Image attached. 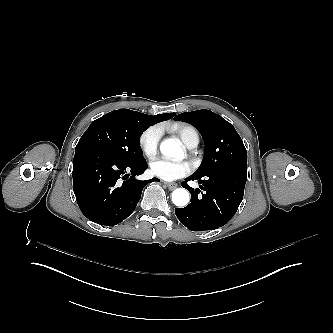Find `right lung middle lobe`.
<instances>
[{
  "label": "right lung middle lobe",
  "mask_w": 333,
  "mask_h": 333,
  "mask_svg": "<svg viewBox=\"0 0 333 333\" xmlns=\"http://www.w3.org/2000/svg\"><path fill=\"white\" fill-rule=\"evenodd\" d=\"M152 126L136 111L119 109L93 121L80 138L76 148L91 147L127 163L144 161L140 136Z\"/></svg>",
  "instance_id": "1"
}]
</instances>
